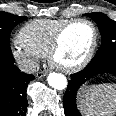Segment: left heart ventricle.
<instances>
[{
    "instance_id": "1",
    "label": "left heart ventricle",
    "mask_w": 116,
    "mask_h": 116,
    "mask_svg": "<svg viewBox=\"0 0 116 116\" xmlns=\"http://www.w3.org/2000/svg\"><path fill=\"white\" fill-rule=\"evenodd\" d=\"M92 43V29L88 24L77 23L64 33L56 62L63 66H71L81 61Z\"/></svg>"
}]
</instances>
